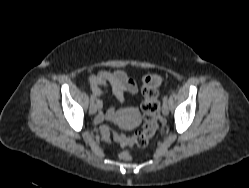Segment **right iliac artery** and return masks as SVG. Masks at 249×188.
Instances as JSON below:
<instances>
[{
    "mask_svg": "<svg viewBox=\"0 0 249 188\" xmlns=\"http://www.w3.org/2000/svg\"><path fill=\"white\" fill-rule=\"evenodd\" d=\"M94 100H95V96L91 94V102H93Z\"/></svg>",
    "mask_w": 249,
    "mask_h": 188,
    "instance_id": "82829eb1",
    "label": "right iliac artery"
}]
</instances>
